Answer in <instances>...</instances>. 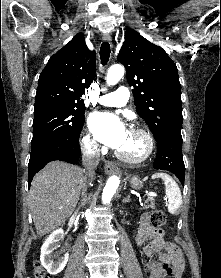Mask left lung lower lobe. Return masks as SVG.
Returning <instances> with one entry per match:
<instances>
[{"instance_id": "1", "label": "left lung lower lobe", "mask_w": 221, "mask_h": 278, "mask_svg": "<svg viewBox=\"0 0 221 278\" xmlns=\"http://www.w3.org/2000/svg\"><path fill=\"white\" fill-rule=\"evenodd\" d=\"M157 141L154 168L173 172L184 186L185 166L181 135H163Z\"/></svg>"}]
</instances>
